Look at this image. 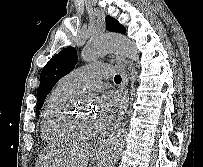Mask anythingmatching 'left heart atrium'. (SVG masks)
I'll list each match as a JSON object with an SVG mask.
<instances>
[{
	"label": "left heart atrium",
	"mask_w": 203,
	"mask_h": 167,
	"mask_svg": "<svg viewBox=\"0 0 203 167\" xmlns=\"http://www.w3.org/2000/svg\"><path fill=\"white\" fill-rule=\"evenodd\" d=\"M122 108V100L118 94L106 91L98 100L97 113L94 116L96 129L100 130L110 125Z\"/></svg>",
	"instance_id": "1"
}]
</instances>
